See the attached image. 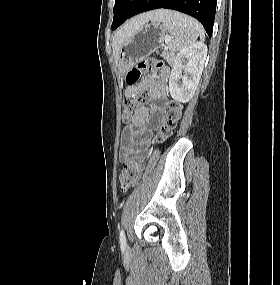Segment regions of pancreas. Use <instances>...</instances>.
<instances>
[{
	"label": "pancreas",
	"instance_id": "cf45deb5",
	"mask_svg": "<svg viewBox=\"0 0 280 285\" xmlns=\"http://www.w3.org/2000/svg\"><path fill=\"white\" fill-rule=\"evenodd\" d=\"M162 57L171 64L173 62V54L172 52L165 51L162 53Z\"/></svg>",
	"mask_w": 280,
	"mask_h": 285
}]
</instances>
